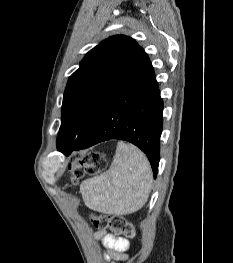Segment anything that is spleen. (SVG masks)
<instances>
[{
    "instance_id": "obj_1",
    "label": "spleen",
    "mask_w": 233,
    "mask_h": 263,
    "mask_svg": "<svg viewBox=\"0 0 233 263\" xmlns=\"http://www.w3.org/2000/svg\"><path fill=\"white\" fill-rule=\"evenodd\" d=\"M151 187L152 170L144 153L131 144L118 142L109 170L84 180L80 191L88 208L125 215L144 206Z\"/></svg>"
}]
</instances>
